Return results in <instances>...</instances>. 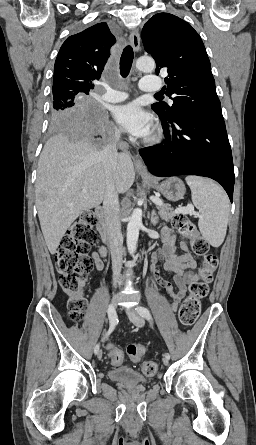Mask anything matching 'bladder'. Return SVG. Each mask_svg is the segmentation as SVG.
<instances>
[{
    "label": "bladder",
    "instance_id": "obj_1",
    "mask_svg": "<svg viewBox=\"0 0 256 445\" xmlns=\"http://www.w3.org/2000/svg\"><path fill=\"white\" fill-rule=\"evenodd\" d=\"M108 377L112 382L126 386L147 385L150 383V379L138 370L128 366L110 369L108 371Z\"/></svg>",
    "mask_w": 256,
    "mask_h": 445
}]
</instances>
